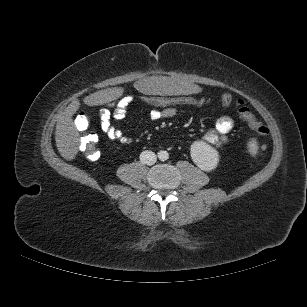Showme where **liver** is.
Here are the masks:
<instances>
[{
	"instance_id": "6515ba94",
	"label": "liver",
	"mask_w": 307,
	"mask_h": 307,
	"mask_svg": "<svg viewBox=\"0 0 307 307\" xmlns=\"http://www.w3.org/2000/svg\"><path fill=\"white\" fill-rule=\"evenodd\" d=\"M135 91L146 94L189 95L198 93L200 86L194 80H182L175 77H152L135 80ZM123 92L122 88L101 90L84 98V103L89 106L102 105L117 99ZM80 102L73 100L59 116L55 141L60 155L66 160H73L78 153L79 135L74 126L72 116L79 110Z\"/></svg>"
}]
</instances>
